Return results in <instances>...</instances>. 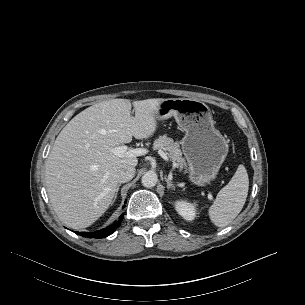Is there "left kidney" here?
Listing matches in <instances>:
<instances>
[{"mask_svg":"<svg viewBox=\"0 0 305 305\" xmlns=\"http://www.w3.org/2000/svg\"><path fill=\"white\" fill-rule=\"evenodd\" d=\"M175 209L185 220L192 221L196 217V204L187 201H176Z\"/></svg>","mask_w":305,"mask_h":305,"instance_id":"obj_1","label":"left kidney"}]
</instances>
